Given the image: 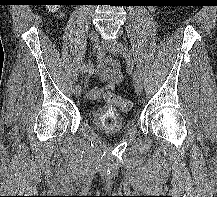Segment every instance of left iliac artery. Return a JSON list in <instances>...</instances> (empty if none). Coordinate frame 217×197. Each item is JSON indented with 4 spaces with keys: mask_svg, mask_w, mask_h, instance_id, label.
<instances>
[{
    "mask_svg": "<svg viewBox=\"0 0 217 197\" xmlns=\"http://www.w3.org/2000/svg\"><path fill=\"white\" fill-rule=\"evenodd\" d=\"M119 48L122 51L123 55L129 60L132 59V51L126 45L119 43Z\"/></svg>",
    "mask_w": 217,
    "mask_h": 197,
    "instance_id": "1",
    "label": "left iliac artery"
}]
</instances>
